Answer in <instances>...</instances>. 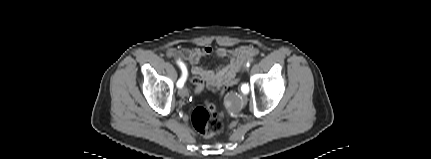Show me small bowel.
Instances as JSON below:
<instances>
[{
  "label": "small bowel",
  "instance_id": "small-bowel-1",
  "mask_svg": "<svg viewBox=\"0 0 431 159\" xmlns=\"http://www.w3.org/2000/svg\"><path fill=\"white\" fill-rule=\"evenodd\" d=\"M212 53H215L219 58H227L228 63L216 70L198 65L203 57L211 55ZM256 53L257 49L248 45L233 49L221 47L215 51L207 45L191 49L171 48L167 51V56L176 58L177 62H181L184 65L186 71V65L189 64L191 66L192 77H201L204 80V87L207 86L216 90L234 80L246 61L256 55Z\"/></svg>",
  "mask_w": 431,
  "mask_h": 159
}]
</instances>
